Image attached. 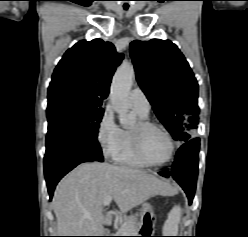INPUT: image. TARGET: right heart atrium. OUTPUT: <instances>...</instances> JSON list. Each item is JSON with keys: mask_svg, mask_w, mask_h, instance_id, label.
I'll return each instance as SVG.
<instances>
[{"mask_svg": "<svg viewBox=\"0 0 248 237\" xmlns=\"http://www.w3.org/2000/svg\"><path fill=\"white\" fill-rule=\"evenodd\" d=\"M96 139L104 157L113 158L116 155L120 146L121 129L109 106L104 109L98 121Z\"/></svg>", "mask_w": 248, "mask_h": 237, "instance_id": "obj_1", "label": "right heart atrium"}]
</instances>
